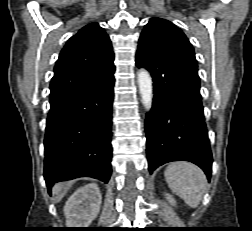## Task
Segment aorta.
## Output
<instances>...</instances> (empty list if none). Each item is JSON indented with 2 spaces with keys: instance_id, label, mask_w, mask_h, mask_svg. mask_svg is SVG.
<instances>
[{
  "instance_id": "762f6f07",
  "label": "aorta",
  "mask_w": 252,
  "mask_h": 231,
  "mask_svg": "<svg viewBox=\"0 0 252 231\" xmlns=\"http://www.w3.org/2000/svg\"><path fill=\"white\" fill-rule=\"evenodd\" d=\"M138 86L142 103L145 109L150 111L153 100V85L152 78L149 72L145 69H140L138 72Z\"/></svg>"
}]
</instances>
